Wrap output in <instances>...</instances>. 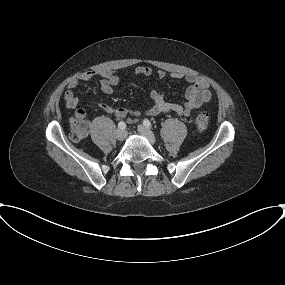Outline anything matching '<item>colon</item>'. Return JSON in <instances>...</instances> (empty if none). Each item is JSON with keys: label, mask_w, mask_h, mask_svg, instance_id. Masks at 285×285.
Returning a JSON list of instances; mask_svg holds the SVG:
<instances>
[{"label": "colon", "mask_w": 285, "mask_h": 285, "mask_svg": "<svg viewBox=\"0 0 285 285\" xmlns=\"http://www.w3.org/2000/svg\"><path fill=\"white\" fill-rule=\"evenodd\" d=\"M209 123V115L205 110H200L195 119V125L199 132H203L207 129ZM90 125L86 120L76 119L72 125L70 138L79 142L84 139L89 133Z\"/></svg>", "instance_id": "colon-1"}]
</instances>
